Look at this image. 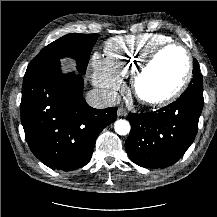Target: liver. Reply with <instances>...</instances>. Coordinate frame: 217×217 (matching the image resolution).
Returning <instances> with one entry per match:
<instances>
[{"label":"liver","mask_w":217,"mask_h":217,"mask_svg":"<svg viewBox=\"0 0 217 217\" xmlns=\"http://www.w3.org/2000/svg\"><path fill=\"white\" fill-rule=\"evenodd\" d=\"M63 63V69L65 70H71L74 68V61L72 60H62Z\"/></svg>","instance_id":"1"}]
</instances>
